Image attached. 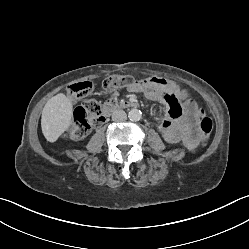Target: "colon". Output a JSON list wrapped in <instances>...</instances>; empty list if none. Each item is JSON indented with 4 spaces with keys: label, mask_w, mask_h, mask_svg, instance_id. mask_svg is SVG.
I'll use <instances>...</instances> for the list:
<instances>
[{
    "label": "colon",
    "mask_w": 249,
    "mask_h": 249,
    "mask_svg": "<svg viewBox=\"0 0 249 249\" xmlns=\"http://www.w3.org/2000/svg\"><path fill=\"white\" fill-rule=\"evenodd\" d=\"M138 81L131 76L112 75L103 81V88L108 91L129 88L136 85ZM92 88L90 82H76L69 86L68 94L72 98L86 96ZM102 118V106L98 101L90 100L78 107L74 113L73 123L68 130V137L72 140H80L86 137L91 128L99 123ZM200 130L206 140L213 130L212 120L203 112L200 118Z\"/></svg>",
    "instance_id": "5ec220e1"
}]
</instances>
